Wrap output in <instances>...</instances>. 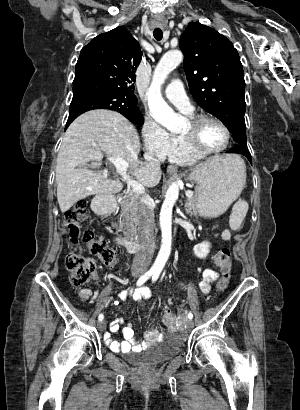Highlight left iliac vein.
I'll return each mask as SVG.
<instances>
[{"mask_svg": "<svg viewBox=\"0 0 300 410\" xmlns=\"http://www.w3.org/2000/svg\"><path fill=\"white\" fill-rule=\"evenodd\" d=\"M185 323L187 325L188 328H192L193 327V321L191 319H186Z\"/></svg>", "mask_w": 300, "mask_h": 410, "instance_id": "1", "label": "left iliac vein"}]
</instances>
